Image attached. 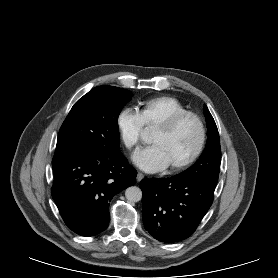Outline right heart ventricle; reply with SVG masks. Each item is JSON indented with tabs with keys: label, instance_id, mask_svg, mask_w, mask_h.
<instances>
[{
	"label": "right heart ventricle",
	"instance_id": "e07e8e85",
	"mask_svg": "<svg viewBox=\"0 0 278 278\" xmlns=\"http://www.w3.org/2000/svg\"><path fill=\"white\" fill-rule=\"evenodd\" d=\"M187 108L170 96H159L140 103L138 112L145 127H157L176 114L187 112Z\"/></svg>",
	"mask_w": 278,
	"mask_h": 278
}]
</instances>
